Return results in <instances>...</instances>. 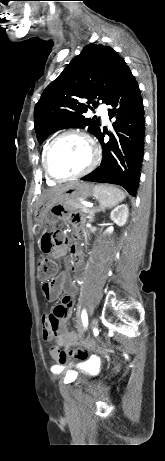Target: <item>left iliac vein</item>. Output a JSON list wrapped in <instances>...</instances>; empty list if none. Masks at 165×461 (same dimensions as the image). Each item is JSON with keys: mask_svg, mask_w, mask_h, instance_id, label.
Returning <instances> with one entry per match:
<instances>
[{"mask_svg": "<svg viewBox=\"0 0 165 461\" xmlns=\"http://www.w3.org/2000/svg\"><path fill=\"white\" fill-rule=\"evenodd\" d=\"M97 327H98V319L93 318L92 321H91V328L96 329Z\"/></svg>", "mask_w": 165, "mask_h": 461, "instance_id": "1", "label": "left iliac vein"}]
</instances>
